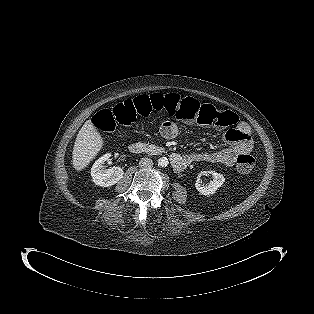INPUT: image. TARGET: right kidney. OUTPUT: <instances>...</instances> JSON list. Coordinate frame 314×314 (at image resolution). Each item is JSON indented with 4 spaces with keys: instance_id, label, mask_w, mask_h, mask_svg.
Listing matches in <instances>:
<instances>
[{
    "instance_id": "1",
    "label": "right kidney",
    "mask_w": 314,
    "mask_h": 314,
    "mask_svg": "<svg viewBox=\"0 0 314 314\" xmlns=\"http://www.w3.org/2000/svg\"><path fill=\"white\" fill-rule=\"evenodd\" d=\"M111 154L107 153L99 158L92 166L91 176L93 182L101 187H110L123 178L124 172L120 167L105 169L104 164L109 160Z\"/></svg>"
}]
</instances>
